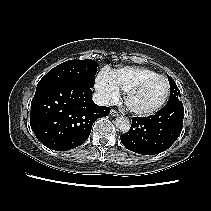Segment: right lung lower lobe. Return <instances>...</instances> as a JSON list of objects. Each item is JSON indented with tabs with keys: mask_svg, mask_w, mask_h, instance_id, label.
Returning a JSON list of instances; mask_svg holds the SVG:
<instances>
[{
	"mask_svg": "<svg viewBox=\"0 0 211 211\" xmlns=\"http://www.w3.org/2000/svg\"><path fill=\"white\" fill-rule=\"evenodd\" d=\"M91 88L79 82H59L37 88L31 102L30 125L37 139L56 151L82 145L98 118L110 108L96 105Z\"/></svg>",
	"mask_w": 211,
	"mask_h": 211,
	"instance_id": "1",
	"label": "right lung lower lobe"
}]
</instances>
